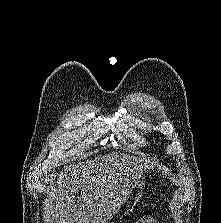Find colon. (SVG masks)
Listing matches in <instances>:
<instances>
[{
    "mask_svg": "<svg viewBox=\"0 0 221 223\" xmlns=\"http://www.w3.org/2000/svg\"><path fill=\"white\" fill-rule=\"evenodd\" d=\"M159 214L155 208H149L142 212L139 219L134 223H157Z\"/></svg>",
    "mask_w": 221,
    "mask_h": 223,
    "instance_id": "colon-1",
    "label": "colon"
}]
</instances>
